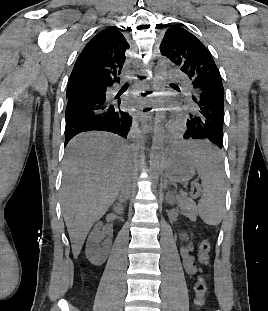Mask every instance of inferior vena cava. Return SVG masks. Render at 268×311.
I'll list each match as a JSON object with an SVG mask.
<instances>
[{"instance_id":"602c4592","label":"inferior vena cava","mask_w":268,"mask_h":311,"mask_svg":"<svg viewBox=\"0 0 268 311\" xmlns=\"http://www.w3.org/2000/svg\"><path fill=\"white\" fill-rule=\"evenodd\" d=\"M134 150V149H133ZM132 167L130 166L129 169ZM131 193V177L127 174L120 190V196L123 200H127Z\"/></svg>"}]
</instances>
